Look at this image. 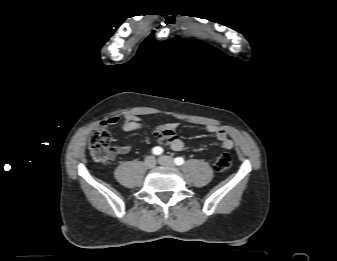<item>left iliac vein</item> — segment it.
Listing matches in <instances>:
<instances>
[{
  "label": "left iliac vein",
  "mask_w": 337,
  "mask_h": 261,
  "mask_svg": "<svg viewBox=\"0 0 337 261\" xmlns=\"http://www.w3.org/2000/svg\"><path fill=\"white\" fill-rule=\"evenodd\" d=\"M158 162H159V164H161L163 166H169V167L175 166L173 158L170 157V156H166V155L160 156L158 158Z\"/></svg>",
  "instance_id": "4c4485c4"
}]
</instances>
